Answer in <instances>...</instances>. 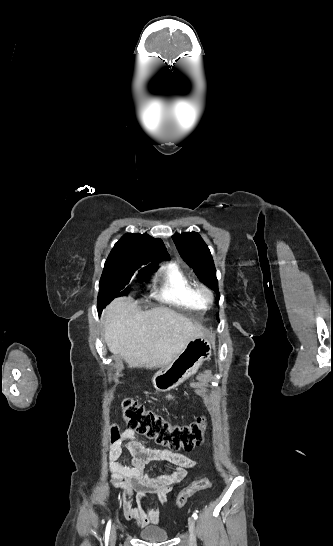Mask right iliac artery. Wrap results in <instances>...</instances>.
<instances>
[{
    "label": "right iliac artery",
    "instance_id": "82829eb1",
    "mask_svg": "<svg viewBox=\"0 0 333 546\" xmlns=\"http://www.w3.org/2000/svg\"><path fill=\"white\" fill-rule=\"evenodd\" d=\"M110 528H111V521L107 523L106 531H105V544L108 545L109 535H110Z\"/></svg>",
    "mask_w": 333,
    "mask_h": 546
}]
</instances>
